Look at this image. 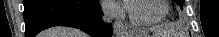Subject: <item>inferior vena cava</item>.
Returning <instances> with one entry per match:
<instances>
[{
	"mask_svg": "<svg viewBox=\"0 0 219 37\" xmlns=\"http://www.w3.org/2000/svg\"><path fill=\"white\" fill-rule=\"evenodd\" d=\"M102 11V20L106 23H110L117 15L118 8L115 5H106L102 8Z\"/></svg>",
	"mask_w": 219,
	"mask_h": 37,
	"instance_id": "602c4592",
	"label": "inferior vena cava"
}]
</instances>
